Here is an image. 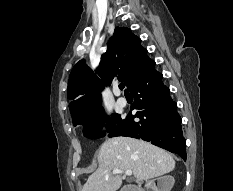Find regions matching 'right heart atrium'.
Masks as SVG:
<instances>
[{
    "mask_svg": "<svg viewBox=\"0 0 233 191\" xmlns=\"http://www.w3.org/2000/svg\"><path fill=\"white\" fill-rule=\"evenodd\" d=\"M111 131V123L109 118L100 117L94 123V132L98 139L106 138Z\"/></svg>",
    "mask_w": 233,
    "mask_h": 191,
    "instance_id": "right-heart-atrium-1",
    "label": "right heart atrium"
}]
</instances>
